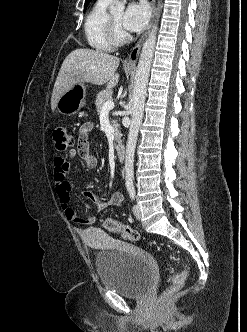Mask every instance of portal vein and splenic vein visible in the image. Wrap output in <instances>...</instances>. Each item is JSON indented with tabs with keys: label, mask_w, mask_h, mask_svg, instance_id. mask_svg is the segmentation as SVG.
Returning a JSON list of instances; mask_svg holds the SVG:
<instances>
[{
	"label": "portal vein and splenic vein",
	"mask_w": 247,
	"mask_h": 332,
	"mask_svg": "<svg viewBox=\"0 0 247 332\" xmlns=\"http://www.w3.org/2000/svg\"><path fill=\"white\" fill-rule=\"evenodd\" d=\"M114 108V102L111 100V101H106L102 107V110L105 111V110H110V109H113Z\"/></svg>",
	"instance_id": "18ae733b"
}]
</instances>
